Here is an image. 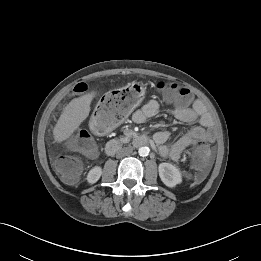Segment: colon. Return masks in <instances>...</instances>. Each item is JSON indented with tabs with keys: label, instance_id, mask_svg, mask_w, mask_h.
<instances>
[{
	"label": "colon",
	"instance_id": "1",
	"mask_svg": "<svg viewBox=\"0 0 261 261\" xmlns=\"http://www.w3.org/2000/svg\"><path fill=\"white\" fill-rule=\"evenodd\" d=\"M167 102L178 104L181 107L187 106L191 101L190 91L183 85L177 83L159 82L156 85ZM86 90L84 84H78L74 87V92L81 93ZM129 106L127 96L123 92L111 93L106 96L101 106L102 120L99 125L105 129L124 119ZM69 150L79 152L85 156H93L97 151L95 140L91 133L86 129L79 130L74 137L67 141ZM209 153L205 146H197L191 154V165L200 173H203L208 167ZM55 168L61 178L67 184L75 183L83 169L82 161L74 155H61L54 161Z\"/></svg>",
	"mask_w": 261,
	"mask_h": 261
}]
</instances>
